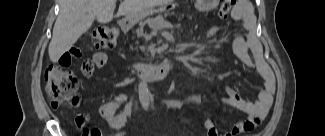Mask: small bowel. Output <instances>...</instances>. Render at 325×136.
Here are the masks:
<instances>
[{
  "label": "small bowel",
  "instance_id": "1",
  "mask_svg": "<svg viewBox=\"0 0 325 136\" xmlns=\"http://www.w3.org/2000/svg\"><path fill=\"white\" fill-rule=\"evenodd\" d=\"M228 29L227 25H214L207 30L206 36L208 38L215 36L218 33L224 32ZM229 41L235 47L241 61L247 65H251V59L249 56V50L251 45L246 38L240 34H234L229 38ZM82 44H68L66 53H60V64L62 69H68L69 75L75 74L74 67L77 63L83 62L82 72L85 77H91L94 69L102 68L107 63V55L103 52H97L92 57H83ZM258 72L264 79L265 85L258 92L255 100H246L241 97L239 92L229 86L223 87L224 96L222 97V103L230 108H234L244 112L247 117L244 120L237 122L229 132L222 135L234 136L253 130L257 124L267 114L273 100L274 79L268 72L265 65L260 62L258 64ZM127 100V96L124 93L114 95L110 100L101 104L98 109V115L104 119L109 125L115 129H121L127 122L128 118L134 111V101H130L122 109L121 105ZM203 98L199 93H194L188 96L173 99L168 104L170 108H181L188 105L201 106L203 104ZM77 101L73 106H77ZM88 116L86 114H79L75 121L78 127L85 128ZM204 127L208 136H218V129L215 126L213 119L206 115L204 119Z\"/></svg>",
  "mask_w": 325,
  "mask_h": 136
}]
</instances>
